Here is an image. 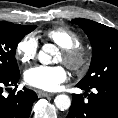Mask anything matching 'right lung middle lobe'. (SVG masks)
Returning <instances> with one entry per match:
<instances>
[{"label": "right lung middle lobe", "mask_w": 118, "mask_h": 118, "mask_svg": "<svg viewBox=\"0 0 118 118\" xmlns=\"http://www.w3.org/2000/svg\"><path fill=\"white\" fill-rule=\"evenodd\" d=\"M36 26L27 28L23 25L0 21V79H8L19 74L15 59L17 44Z\"/></svg>", "instance_id": "dd1d6c3e"}]
</instances>
